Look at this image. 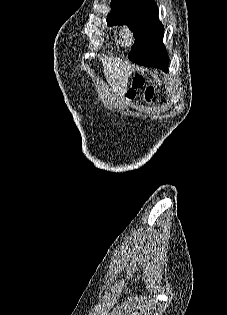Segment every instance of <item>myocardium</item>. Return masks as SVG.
I'll return each mask as SVG.
<instances>
[{
	"instance_id": "myocardium-1",
	"label": "myocardium",
	"mask_w": 227,
	"mask_h": 315,
	"mask_svg": "<svg viewBox=\"0 0 227 315\" xmlns=\"http://www.w3.org/2000/svg\"><path fill=\"white\" fill-rule=\"evenodd\" d=\"M121 40L124 46H132L135 43L134 32L129 27H124L121 31Z\"/></svg>"
}]
</instances>
